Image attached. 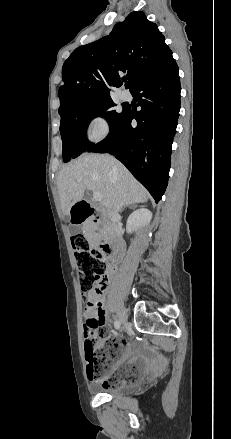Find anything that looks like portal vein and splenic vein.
<instances>
[{
	"label": "portal vein and splenic vein",
	"mask_w": 231,
	"mask_h": 439,
	"mask_svg": "<svg viewBox=\"0 0 231 439\" xmlns=\"http://www.w3.org/2000/svg\"><path fill=\"white\" fill-rule=\"evenodd\" d=\"M102 198H103L102 195L100 193H98V192H95L93 194V199L96 200V201H101Z\"/></svg>",
	"instance_id": "obj_1"
}]
</instances>
